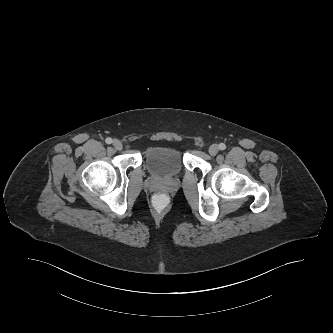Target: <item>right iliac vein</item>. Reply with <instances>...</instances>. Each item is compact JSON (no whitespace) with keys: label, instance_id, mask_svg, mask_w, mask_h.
<instances>
[{"label":"right iliac vein","instance_id":"1","mask_svg":"<svg viewBox=\"0 0 333 333\" xmlns=\"http://www.w3.org/2000/svg\"><path fill=\"white\" fill-rule=\"evenodd\" d=\"M113 146H114V148L117 149V150H121L122 147H123L121 141H120V140H117V139H115V140L113 141Z\"/></svg>","mask_w":333,"mask_h":333}]
</instances>
